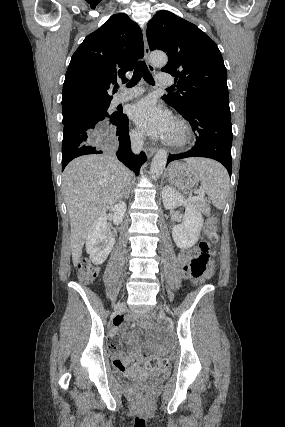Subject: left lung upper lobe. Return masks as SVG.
<instances>
[{"label": "left lung upper lobe", "instance_id": "5c2ea615", "mask_svg": "<svg viewBox=\"0 0 285 427\" xmlns=\"http://www.w3.org/2000/svg\"><path fill=\"white\" fill-rule=\"evenodd\" d=\"M150 50L166 52L161 71L175 77L180 93L164 95L180 112L198 103L229 107L227 71L216 43L196 25L169 11H158L148 23Z\"/></svg>", "mask_w": 285, "mask_h": 427}]
</instances>
